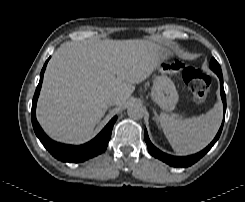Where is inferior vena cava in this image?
<instances>
[{
  "mask_svg": "<svg viewBox=\"0 0 245 202\" xmlns=\"http://www.w3.org/2000/svg\"><path fill=\"white\" fill-rule=\"evenodd\" d=\"M119 101V97L118 95L116 94H113V95H110L108 98H107V103L109 105H116Z\"/></svg>",
  "mask_w": 245,
  "mask_h": 202,
  "instance_id": "inferior-vena-cava-1",
  "label": "inferior vena cava"
}]
</instances>
